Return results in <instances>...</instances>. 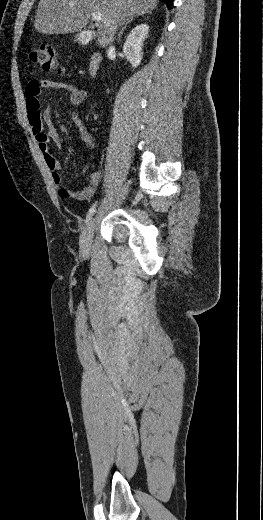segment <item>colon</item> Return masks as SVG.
<instances>
[{"instance_id": "5ec220e1", "label": "colon", "mask_w": 263, "mask_h": 520, "mask_svg": "<svg viewBox=\"0 0 263 520\" xmlns=\"http://www.w3.org/2000/svg\"><path fill=\"white\" fill-rule=\"evenodd\" d=\"M30 59L45 71L63 73V68L59 66L55 50L48 44H43L32 50Z\"/></svg>"}]
</instances>
